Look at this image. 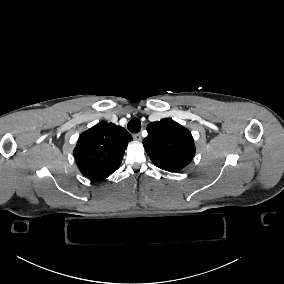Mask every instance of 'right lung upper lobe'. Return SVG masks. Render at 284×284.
Segmentation results:
<instances>
[{"instance_id":"cb5924a9","label":"right lung upper lobe","mask_w":284,"mask_h":284,"mask_svg":"<svg viewBox=\"0 0 284 284\" xmlns=\"http://www.w3.org/2000/svg\"><path fill=\"white\" fill-rule=\"evenodd\" d=\"M132 140L125 128L101 122L83 132L74 149L81 173L94 181L109 177L120 166L124 150Z\"/></svg>"}]
</instances>
